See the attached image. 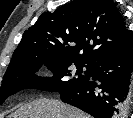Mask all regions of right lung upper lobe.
Instances as JSON below:
<instances>
[{
	"mask_svg": "<svg viewBox=\"0 0 133 118\" xmlns=\"http://www.w3.org/2000/svg\"><path fill=\"white\" fill-rule=\"evenodd\" d=\"M129 42L126 24L111 0H75L44 12L24 32L7 69L50 58L91 67Z\"/></svg>",
	"mask_w": 133,
	"mask_h": 118,
	"instance_id": "right-lung-upper-lobe-1",
	"label": "right lung upper lobe"
}]
</instances>
